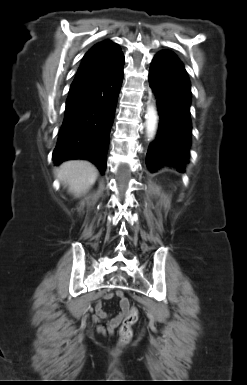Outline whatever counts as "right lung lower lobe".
Returning <instances> with one entry per match:
<instances>
[{
    "label": "right lung lower lobe",
    "instance_id": "right-lung-lower-lobe-1",
    "mask_svg": "<svg viewBox=\"0 0 247 385\" xmlns=\"http://www.w3.org/2000/svg\"><path fill=\"white\" fill-rule=\"evenodd\" d=\"M123 66L71 85L53 152L56 165L69 159H87L105 171Z\"/></svg>",
    "mask_w": 247,
    "mask_h": 385
}]
</instances>
